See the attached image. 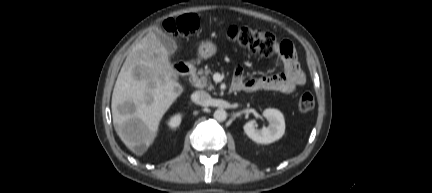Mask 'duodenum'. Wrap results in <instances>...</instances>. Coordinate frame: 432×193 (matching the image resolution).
<instances>
[{"label":"duodenum","instance_id":"410a0bca","mask_svg":"<svg viewBox=\"0 0 432 193\" xmlns=\"http://www.w3.org/2000/svg\"><path fill=\"white\" fill-rule=\"evenodd\" d=\"M193 61L180 62L175 65V71L181 76H192L195 73ZM239 85L233 84L232 90H240Z\"/></svg>","mask_w":432,"mask_h":193}]
</instances>
